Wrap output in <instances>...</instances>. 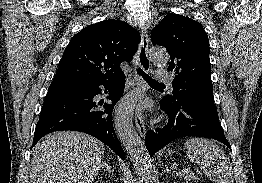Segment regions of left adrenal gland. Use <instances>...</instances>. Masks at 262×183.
Segmentation results:
<instances>
[{"label":"left adrenal gland","instance_id":"left-adrenal-gland-1","mask_svg":"<svg viewBox=\"0 0 262 183\" xmlns=\"http://www.w3.org/2000/svg\"><path fill=\"white\" fill-rule=\"evenodd\" d=\"M173 169H174V167L169 169L168 166L166 165L162 173L165 174L166 172H170L173 175L174 174V170Z\"/></svg>","mask_w":262,"mask_h":183}]
</instances>
